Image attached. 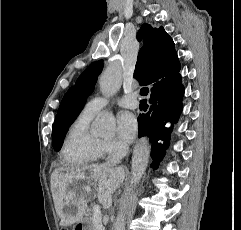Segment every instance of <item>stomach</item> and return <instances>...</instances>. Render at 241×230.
Wrapping results in <instances>:
<instances>
[{"instance_id": "0dacf381", "label": "stomach", "mask_w": 241, "mask_h": 230, "mask_svg": "<svg viewBox=\"0 0 241 230\" xmlns=\"http://www.w3.org/2000/svg\"><path fill=\"white\" fill-rule=\"evenodd\" d=\"M92 230V225L91 223H89L87 221V219H82L80 222H78L75 227L74 230Z\"/></svg>"}]
</instances>
